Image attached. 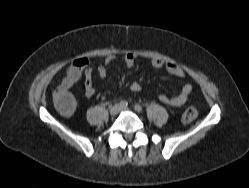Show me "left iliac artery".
Listing matches in <instances>:
<instances>
[{
  "label": "left iliac artery",
  "instance_id": "1",
  "mask_svg": "<svg viewBox=\"0 0 249 188\" xmlns=\"http://www.w3.org/2000/svg\"><path fill=\"white\" fill-rule=\"evenodd\" d=\"M134 108H135V110L138 111V112H142V110H143L142 106L139 105V104H136V105L134 106Z\"/></svg>",
  "mask_w": 249,
  "mask_h": 188
}]
</instances>
